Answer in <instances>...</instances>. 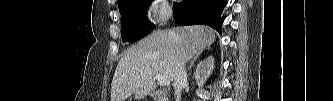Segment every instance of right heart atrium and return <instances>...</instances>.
Segmentation results:
<instances>
[{"instance_id": "right-heart-atrium-1", "label": "right heart atrium", "mask_w": 333, "mask_h": 101, "mask_svg": "<svg viewBox=\"0 0 333 101\" xmlns=\"http://www.w3.org/2000/svg\"><path fill=\"white\" fill-rule=\"evenodd\" d=\"M148 13L151 21L163 23L171 16L172 11L168 1L157 0L150 2Z\"/></svg>"}]
</instances>
